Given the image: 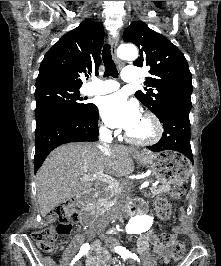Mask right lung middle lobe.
Instances as JSON below:
<instances>
[{
	"label": "right lung middle lobe",
	"mask_w": 221,
	"mask_h": 266,
	"mask_svg": "<svg viewBox=\"0 0 221 266\" xmlns=\"http://www.w3.org/2000/svg\"><path fill=\"white\" fill-rule=\"evenodd\" d=\"M35 99L36 125L61 114L88 115L96 107L84 102L87 98L80 97L79 88L62 85L36 88Z\"/></svg>",
	"instance_id": "right-lung-middle-lobe-1"
}]
</instances>
